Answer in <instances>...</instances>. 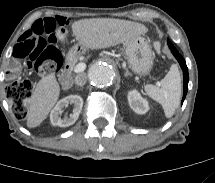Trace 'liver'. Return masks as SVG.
Returning <instances> with one entry per match:
<instances>
[{"label": "liver", "instance_id": "6515ba94", "mask_svg": "<svg viewBox=\"0 0 215 183\" xmlns=\"http://www.w3.org/2000/svg\"><path fill=\"white\" fill-rule=\"evenodd\" d=\"M75 38L85 49H102L126 43L148 32L141 23L111 18H93L72 24ZM60 95L54 74L43 77L32 92L28 102L27 127L39 126L48 116Z\"/></svg>", "mask_w": 215, "mask_h": 183}]
</instances>
